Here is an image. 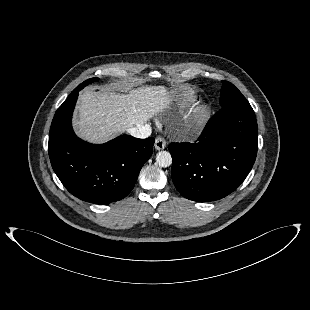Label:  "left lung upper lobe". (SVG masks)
Instances as JSON below:
<instances>
[{"mask_svg": "<svg viewBox=\"0 0 310 310\" xmlns=\"http://www.w3.org/2000/svg\"><path fill=\"white\" fill-rule=\"evenodd\" d=\"M223 86L220 95V105L222 108L240 106L248 103L241 92L230 82L222 81Z\"/></svg>", "mask_w": 310, "mask_h": 310, "instance_id": "obj_1", "label": "left lung upper lobe"}]
</instances>
